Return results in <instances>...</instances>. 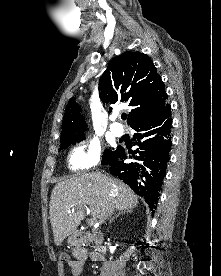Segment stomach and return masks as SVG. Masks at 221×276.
<instances>
[{
    "instance_id": "obj_1",
    "label": "stomach",
    "mask_w": 221,
    "mask_h": 276,
    "mask_svg": "<svg viewBox=\"0 0 221 276\" xmlns=\"http://www.w3.org/2000/svg\"><path fill=\"white\" fill-rule=\"evenodd\" d=\"M68 243L73 246L77 245L79 243L77 235L71 234L68 238Z\"/></svg>"
}]
</instances>
